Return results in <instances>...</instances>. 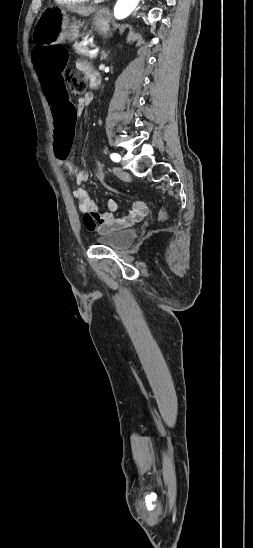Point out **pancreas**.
I'll list each match as a JSON object with an SVG mask.
<instances>
[{
    "label": "pancreas",
    "mask_w": 253,
    "mask_h": 548,
    "mask_svg": "<svg viewBox=\"0 0 253 548\" xmlns=\"http://www.w3.org/2000/svg\"><path fill=\"white\" fill-rule=\"evenodd\" d=\"M74 50L77 54L82 55V56L89 57V55H90L89 49L81 43L76 44L74 46ZM93 58H90V59H93Z\"/></svg>",
    "instance_id": "pancreas-1"
}]
</instances>
